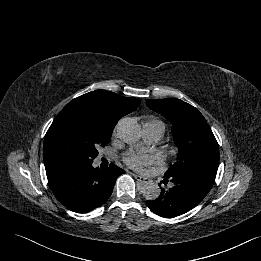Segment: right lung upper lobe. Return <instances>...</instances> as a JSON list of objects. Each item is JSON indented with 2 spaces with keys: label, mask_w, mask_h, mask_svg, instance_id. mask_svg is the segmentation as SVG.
Instances as JSON below:
<instances>
[{
  "label": "right lung upper lobe",
  "mask_w": 261,
  "mask_h": 261,
  "mask_svg": "<svg viewBox=\"0 0 261 261\" xmlns=\"http://www.w3.org/2000/svg\"><path fill=\"white\" fill-rule=\"evenodd\" d=\"M78 104L91 106L97 115L116 125L121 117L134 111L139 106L140 100L106 90H96L73 99L65 107Z\"/></svg>",
  "instance_id": "right-lung-upper-lobe-1"
}]
</instances>
